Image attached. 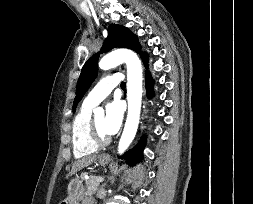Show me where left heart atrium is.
<instances>
[{
  "mask_svg": "<svg viewBox=\"0 0 253 204\" xmlns=\"http://www.w3.org/2000/svg\"><path fill=\"white\" fill-rule=\"evenodd\" d=\"M123 120V108L121 104L115 100L106 106L105 131L108 135L118 132Z\"/></svg>",
  "mask_w": 253,
  "mask_h": 204,
  "instance_id": "1",
  "label": "left heart atrium"
}]
</instances>
